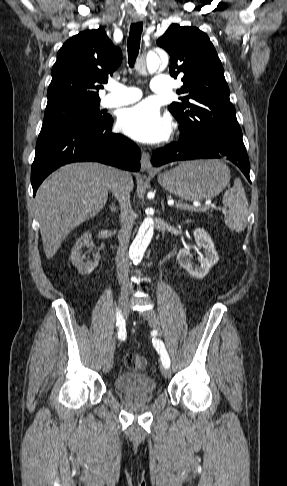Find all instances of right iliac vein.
Returning <instances> with one entry per match:
<instances>
[{
    "label": "right iliac vein",
    "instance_id": "63e3f726",
    "mask_svg": "<svg viewBox=\"0 0 287 486\" xmlns=\"http://www.w3.org/2000/svg\"><path fill=\"white\" fill-rule=\"evenodd\" d=\"M119 305H120V309L122 311V315L124 317H126L127 314H128V311H129L128 292L123 291L121 293L120 298H119ZM113 355H114V341L111 343L110 347L108 348L107 353H106L104 360H103V371L105 373L109 372L112 368Z\"/></svg>",
    "mask_w": 287,
    "mask_h": 486
}]
</instances>
